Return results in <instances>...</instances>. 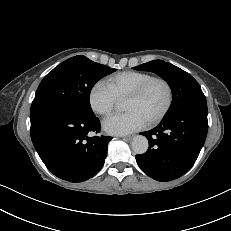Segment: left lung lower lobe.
Instances as JSON below:
<instances>
[{
    "label": "left lung lower lobe",
    "mask_w": 231,
    "mask_h": 231,
    "mask_svg": "<svg viewBox=\"0 0 231 231\" xmlns=\"http://www.w3.org/2000/svg\"><path fill=\"white\" fill-rule=\"evenodd\" d=\"M205 96L186 100L154 129L142 132L149 140L146 153L136 155L140 169L162 182L184 175L195 163L207 132Z\"/></svg>",
    "instance_id": "1"
}]
</instances>
